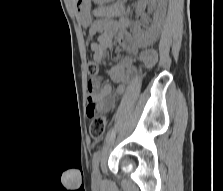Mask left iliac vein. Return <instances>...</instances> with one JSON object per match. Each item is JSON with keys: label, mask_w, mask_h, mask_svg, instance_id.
<instances>
[{"label": "left iliac vein", "mask_w": 223, "mask_h": 191, "mask_svg": "<svg viewBox=\"0 0 223 191\" xmlns=\"http://www.w3.org/2000/svg\"><path fill=\"white\" fill-rule=\"evenodd\" d=\"M100 178H101V175H100L99 167L98 165H94L93 171H92V180L94 182H98Z\"/></svg>", "instance_id": "1"}]
</instances>
